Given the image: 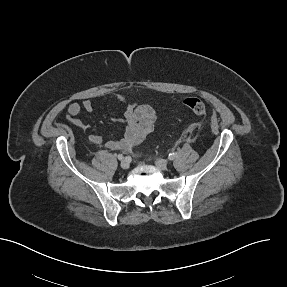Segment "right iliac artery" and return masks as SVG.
<instances>
[{
    "mask_svg": "<svg viewBox=\"0 0 287 287\" xmlns=\"http://www.w3.org/2000/svg\"><path fill=\"white\" fill-rule=\"evenodd\" d=\"M118 159H119V160H122V159H124V156H123V154H119V155H118Z\"/></svg>",
    "mask_w": 287,
    "mask_h": 287,
    "instance_id": "obj_1",
    "label": "right iliac artery"
}]
</instances>
